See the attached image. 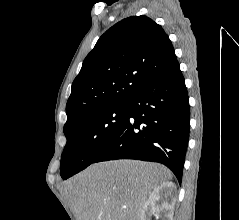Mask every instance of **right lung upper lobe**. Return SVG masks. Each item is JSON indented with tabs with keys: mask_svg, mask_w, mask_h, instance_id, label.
Masks as SVG:
<instances>
[{
	"mask_svg": "<svg viewBox=\"0 0 239 220\" xmlns=\"http://www.w3.org/2000/svg\"><path fill=\"white\" fill-rule=\"evenodd\" d=\"M176 61L160 25L143 15L123 19L85 58L72 84L64 128L90 112L126 103Z\"/></svg>",
	"mask_w": 239,
	"mask_h": 220,
	"instance_id": "cb5924a9",
	"label": "right lung upper lobe"
}]
</instances>
